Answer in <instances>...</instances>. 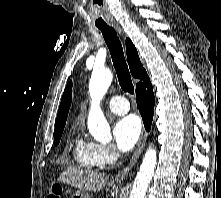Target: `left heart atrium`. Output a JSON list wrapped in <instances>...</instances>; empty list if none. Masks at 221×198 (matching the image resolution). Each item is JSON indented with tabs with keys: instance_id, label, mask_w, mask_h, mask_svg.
I'll use <instances>...</instances> for the list:
<instances>
[{
	"instance_id": "left-heart-atrium-1",
	"label": "left heart atrium",
	"mask_w": 221,
	"mask_h": 198,
	"mask_svg": "<svg viewBox=\"0 0 221 198\" xmlns=\"http://www.w3.org/2000/svg\"><path fill=\"white\" fill-rule=\"evenodd\" d=\"M141 134V123L134 115L126 116L113 128L114 140L121 151L131 150L138 142Z\"/></svg>"
}]
</instances>
